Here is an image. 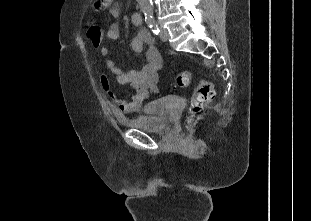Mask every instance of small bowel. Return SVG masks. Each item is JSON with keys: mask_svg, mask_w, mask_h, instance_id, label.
<instances>
[{"mask_svg": "<svg viewBox=\"0 0 311 221\" xmlns=\"http://www.w3.org/2000/svg\"><path fill=\"white\" fill-rule=\"evenodd\" d=\"M121 13V7L114 4L110 7V14L116 18ZM142 16L134 13L131 22L134 26L140 27L142 24ZM120 36V29L116 23H112L106 33L109 40H117ZM146 46V62L137 69H123L118 66L112 59L108 58L109 49L105 46L100 48V55L105 57L104 66L115 77L120 85H128L129 91L127 97H120L112 88L110 79L103 74L100 79L101 86L106 92L110 106L114 109L118 117L128 114H136L141 112L145 99L152 92L158 89L159 70L163 65V58L159 50L154 46L150 34L140 29L131 42L133 51L140 53Z\"/></svg>", "mask_w": 311, "mask_h": 221, "instance_id": "c3829d8e", "label": "small bowel"}]
</instances>
